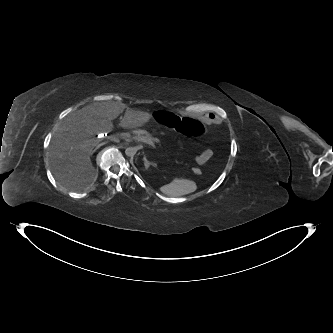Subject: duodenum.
Wrapping results in <instances>:
<instances>
[{
  "label": "duodenum",
  "instance_id": "obj_1",
  "mask_svg": "<svg viewBox=\"0 0 333 333\" xmlns=\"http://www.w3.org/2000/svg\"><path fill=\"white\" fill-rule=\"evenodd\" d=\"M143 133H144V130H143V129H135V130L132 131V134H133V135H136V134H143ZM124 135H125V136H129V135H130V131H129V130H126V131L124 132Z\"/></svg>",
  "mask_w": 333,
  "mask_h": 333
}]
</instances>
